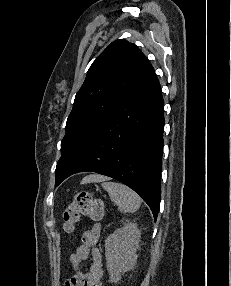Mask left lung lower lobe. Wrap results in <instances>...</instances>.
<instances>
[{"label":"left lung lower lobe","instance_id":"obj_1","mask_svg":"<svg viewBox=\"0 0 231 286\" xmlns=\"http://www.w3.org/2000/svg\"><path fill=\"white\" fill-rule=\"evenodd\" d=\"M163 129L164 101L153 72L93 128L57 185L84 171L112 177L138 193L156 220L161 195Z\"/></svg>","mask_w":231,"mask_h":286}]
</instances>
